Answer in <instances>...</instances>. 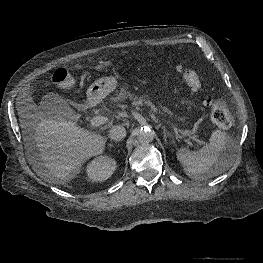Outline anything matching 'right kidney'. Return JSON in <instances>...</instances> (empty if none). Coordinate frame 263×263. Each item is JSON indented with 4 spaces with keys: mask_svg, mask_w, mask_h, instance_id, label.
I'll use <instances>...</instances> for the list:
<instances>
[{
    "mask_svg": "<svg viewBox=\"0 0 263 263\" xmlns=\"http://www.w3.org/2000/svg\"><path fill=\"white\" fill-rule=\"evenodd\" d=\"M116 168V161L108 156H99L88 164L86 172L94 182H102L112 176Z\"/></svg>",
    "mask_w": 263,
    "mask_h": 263,
    "instance_id": "ca27d5eb",
    "label": "right kidney"
}]
</instances>
